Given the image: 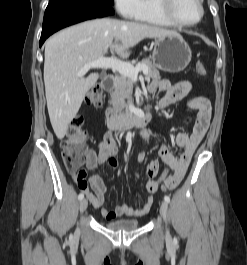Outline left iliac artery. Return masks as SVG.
Returning <instances> with one entry per match:
<instances>
[{
    "instance_id": "obj_1",
    "label": "left iliac artery",
    "mask_w": 247,
    "mask_h": 265,
    "mask_svg": "<svg viewBox=\"0 0 247 265\" xmlns=\"http://www.w3.org/2000/svg\"><path fill=\"white\" fill-rule=\"evenodd\" d=\"M164 200H165L167 203H169V202H170V197L167 196V195H165V196H164Z\"/></svg>"
}]
</instances>
